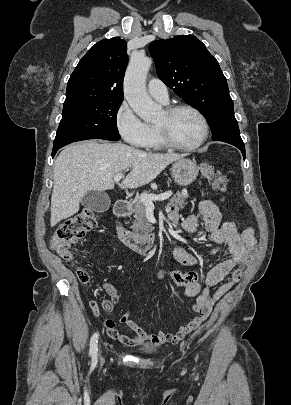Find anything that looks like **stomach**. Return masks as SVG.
<instances>
[{"instance_id":"0dacf381","label":"stomach","mask_w":291,"mask_h":405,"mask_svg":"<svg viewBox=\"0 0 291 405\" xmlns=\"http://www.w3.org/2000/svg\"><path fill=\"white\" fill-rule=\"evenodd\" d=\"M171 171L175 183L185 187L195 181L199 168L194 161L181 158L172 165Z\"/></svg>"}]
</instances>
